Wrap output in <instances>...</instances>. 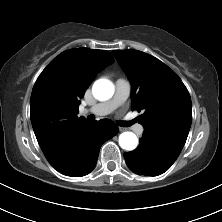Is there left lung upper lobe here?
Listing matches in <instances>:
<instances>
[{
	"label": "left lung upper lobe",
	"mask_w": 222,
	"mask_h": 222,
	"mask_svg": "<svg viewBox=\"0 0 222 222\" xmlns=\"http://www.w3.org/2000/svg\"><path fill=\"white\" fill-rule=\"evenodd\" d=\"M132 85V110L144 111L143 134H155L180 153L192 122L189 92L178 75L150 54L112 51Z\"/></svg>",
	"instance_id": "left-lung-upper-lobe-1"
}]
</instances>
